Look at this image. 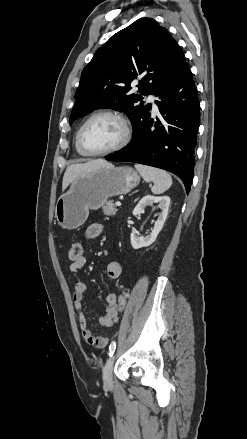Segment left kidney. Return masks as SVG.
<instances>
[{
  "label": "left kidney",
  "instance_id": "obj_1",
  "mask_svg": "<svg viewBox=\"0 0 247 439\" xmlns=\"http://www.w3.org/2000/svg\"><path fill=\"white\" fill-rule=\"evenodd\" d=\"M153 203H159L162 212L159 215L158 219L156 220L154 228L149 235L145 237L144 236L139 237L135 233H131L130 240H131V245L134 249L147 247L150 246L152 243H154L166 221L169 205H170L169 196H151V195L144 196L134 208L133 215H140L144 213L145 207L148 205H152Z\"/></svg>",
  "mask_w": 247,
  "mask_h": 439
}]
</instances>
